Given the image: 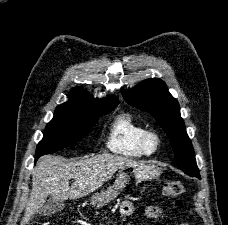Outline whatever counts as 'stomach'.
Returning a JSON list of instances; mask_svg holds the SVG:
<instances>
[{
    "label": "stomach",
    "instance_id": "0dacf381",
    "mask_svg": "<svg viewBox=\"0 0 228 225\" xmlns=\"http://www.w3.org/2000/svg\"><path fill=\"white\" fill-rule=\"evenodd\" d=\"M132 169L133 175L137 181H142V179H151V177H155L156 175L155 167H148V165H133ZM128 181V173H125V171H118V175H116V181L112 187H108L106 191L95 193V195L91 197L92 205L102 207V205L110 203V201H113V199L118 197L121 191L125 189Z\"/></svg>",
    "mask_w": 228,
    "mask_h": 225
}]
</instances>
